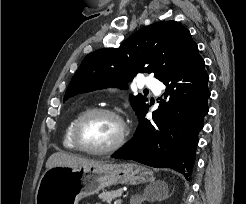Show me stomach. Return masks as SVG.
Masks as SVG:
<instances>
[{"label": "stomach", "instance_id": "obj_1", "mask_svg": "<svg viewBox=\"0 0 246 204\" xmlns=\"http://www.w3.org/2000/svg\"><path fill=\"white\" fill-rule=\"evenodd\" d=\"M153 172L135 163H101L55 166L42 175L36 204H78L85 197L117 184L137 185L153 181Z\"/></svg>", "mask_w": 246, "mask_h": 204}]
</instances>
